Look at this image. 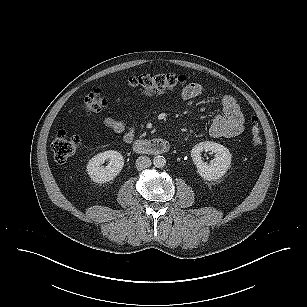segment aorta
Segmentation results:
<instances>
[{
	"label": "aorta",
	"instance_id": "1",
	"mask_svg": "<svg viewBox=\"0 0 307 307\" xmlns=\"http://www.w3.org/2000/svg\"><path fill=\"white\" fill-rule=\"evenodd\" d=\"M153 164L157 168H163L166 165V159L161 155L155 156L153 159Z\"/></svg>",
	"mask_w": 307,
	"mask_h": 307
}]
</instances>
